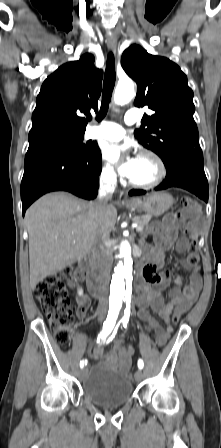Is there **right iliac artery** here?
Wrapping results in <instances>:
<instances>
[{
	"label": "right iliac artery",
	"instance_id": "1",
	"mask_svg": "<svg viewBox=\"0 0 221 448\" xmlns=\"http://www.w3.org/2000/svg\"><path fill=\"white\" fill-rule=\"evenodd\" d=\"M116 320H117V316H114V317H110L109 316V317H107L106 321L103 323V330L98 335V338H97V342L98 343H103L105 341L106 337L113 331L114 328H115L114 329V332H115V330L117 329L118 325L120 324V322H118L116 324ZM86 364H87V361L86 360L85 361L82 360L80 362V367L83 368L84 365H86Z\"/></svg>",
	"mask_w": 221,
	"mask_h": 448
}]
</instances>
